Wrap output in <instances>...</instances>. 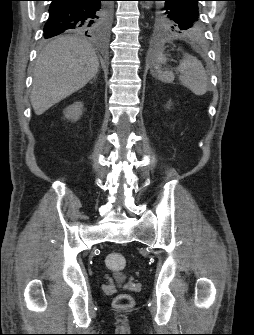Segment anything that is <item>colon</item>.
<instances>
[{
    "mask_svg": "<svg viewBox=\"0 0 254 335\" xmlns=\"http://www.w3.org/2000/svg\"><path fill=\"white\" fill-rule=\"evenodd\" d=\"M105 264L109 270L119 274L126 267V258L122 253L111 252L105 258ZM134 304L133 297L127 293H121L114 299V306L119 309H128Z\"/></svg>",
    "mask_w": 254,
    "mask_h": 335,
    "instance_id": "colon-1",
    "label": "colon"
}]
</instances>
